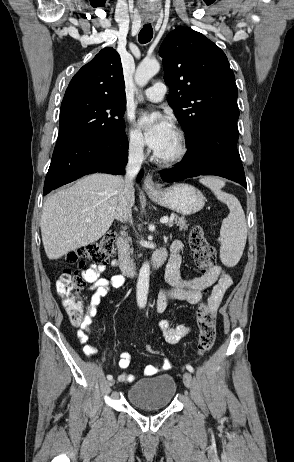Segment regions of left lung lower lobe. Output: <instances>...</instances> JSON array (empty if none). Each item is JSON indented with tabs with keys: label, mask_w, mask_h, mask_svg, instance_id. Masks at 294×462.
<instances>
[{
	"label": "left lung lower lobe",
	"mask_w": 294,
	"mask_h": 462,
	"mask_svg": "<svg viewBox=\"0 0 294 462\" xmlns=\"http://www.w3.org/2000/svg\"><path fill=\"white\" fill-rule=\"evenodd\" d=\"M238 116V107L234 106L217 114L204 126L200 135L187 144L189 154L174 168L162 170V179L173 182L199 175H216L247 188L237 150Z\"/></svg>",
	"instance_id": "left-lung-lower-lobe-1"
}]
</instances>
